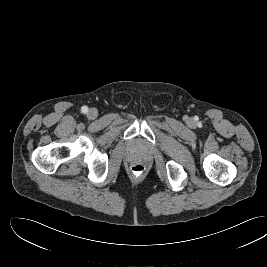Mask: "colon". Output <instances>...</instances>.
Here are the masks:
<instances>
[{
	"mask_svg": "<svg viewBox=\"0 0 267 267\" xmlns=\"http://www.w3.org/2000/svg\"><path fill=\"white\" fill-rule=\"evenodd\" d=\"M131 171H132V173H133L134 176L139 177V176H141L144 173L145 167L141 163H134L131 166Z\"/></svg>",
	"mask_w": 267,
	"mask_h": 267,
	"instance_id": "5ec220e1",
	"label": "colon"
}]
</instances>
